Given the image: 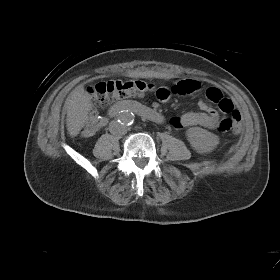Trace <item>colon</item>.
Instances as JSON below:
<instances>
[{"mask_svg":"<svg viewBox=\"0 0 280 280\" xmlns=\"http://www.w3.org/2000/svg\"><path fill=\"white\" fill-rule=\"evenodd\" d=\"M154 87L152 84L135 79H117L101 82L89 89V94L98 105H106L118 99H126L135 95L152 92ZM157 98L167 100L170 96L166 88L156 91ZM206 97L209 101L217 104L220 109L229 114L223 118L217 127L219 132L232 131L234 134L241 132V116L237 110L233 109L231 100L224 98L221 92L216 88H209L206 91ZM98 121L97 114L92 112L88 126L93 128Z\"/></svg>","mask_w":280,"mask_h":280,"instance_id":"obj_1","label":"colon"}]
</instances>
